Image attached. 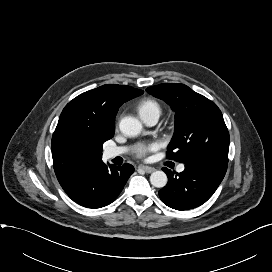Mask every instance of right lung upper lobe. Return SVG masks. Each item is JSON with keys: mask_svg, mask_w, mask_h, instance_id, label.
I'll use <instances>...</instances> for the list:
<instances>
[{"mask_svg": "<svg viewBox=\"0 0 272 272\" xmlns=\"http://www.w3.org/2000/svg\"><path fill=\"white\" fill-rule=\"evenodd\" d=\"M141 94L131 86L108 84L80 94L65 106L51 143L60 184L102 161V146L114 136L119 107Z\"/></svg>", "mask_w": 272, "mask_h": 272, "instance_id": "obj_1", "label": "right lung upper lobe"}]
</instances>
